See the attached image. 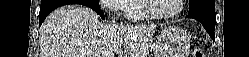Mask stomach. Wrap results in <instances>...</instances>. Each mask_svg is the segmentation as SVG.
I'll list each match as a JSON object with an SVG mask.
<instances>
[{
    "instance_id": "stomach-1",
    "label": "stomach",
    "mask_w": 249,
    "mask_h": 57,
    "mask_svg": "<svg viewBox=\"0 0 249 57\" xmlns=\"http://www.w3.org/2000/svg\"><path fill=\"white\" fill-rule=\"evenodd\" d=\"M190 38L178 27H165L161 30L154 57H188Z\"/></svg>"
}]
</instances>
